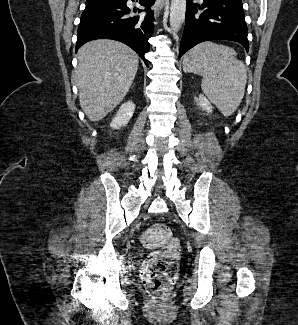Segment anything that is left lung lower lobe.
<instances>
[{"label":"left lung lower lobe","mask_w":298,"mask_h":325,"mask_svg":"<svg viewBox=\"0 0 298 325\" xmlns=\"http://www.w3.org/2000/svg\"><path fill=\"white\" fill-rule=\"evenodd\" d=\"M198 9H204L197 13ZM247 25L241 0H204L202 5L187 0L186 23L179 57L198 43L230 40L249 50Z\"/></svg>","instance_id":"obj_1"}]
</instances>
